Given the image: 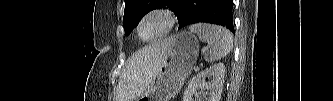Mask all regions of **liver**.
Wrapping results in <instances>:
<instances>
[{"mask_svg": "<svg viewBox=\"0 0 333 101\" xmlns=\"http://www.w3.org/2000/svg\"><path fill=\"white\" fill-rule=\"evenodd\" d=\"M165 41L144 47L133 54L121 74L117 101H134L154 81L167 55Z\"/></svg>", "mask_w": 333, "mask_h": 101, "instance_id": "liver-1", "label": "liver"}]
</instances>
